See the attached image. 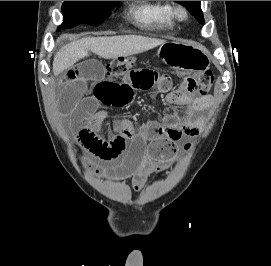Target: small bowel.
I'll use <instances>...</instances> for the list:
<instances>
[{"mask_svg":"<svg viewBox=\"0 0 271 266\" xmlns=\"http://www.w3.org/2000/svg\"><path fill=\"white\" fill-rule=\"evenodd\" d=\"M58 106L70 122L79 145L91 156L115 162V174L131 179L135 190L144 187L149 177L170 167L176 143L182 136H195L203 125L197 113L206 110L210 95L193 96L182 88L171 90V79L154 67L143 63L129 68L118 80L106 76L96 60L60 66ZM155 89L166 94L167 105L181 108L165 120H154L137 128L129 120L116 121L105 138L107 114L99 107H123L136 90ZM130 150L125 154L128 142ZM101 172L100 169H96Z\"/></svg>","mask_w":271,"mask_h":266,"instance_id":"c3829d8e","label":"small bowel"}]
</instances>
